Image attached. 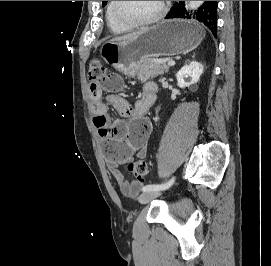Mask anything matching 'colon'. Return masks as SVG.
Masks as SVG:
<instances>
[{"label": "colon", "mask_w": 271, "mask_h": 266, "mask_svg": "<svg viewBox=\"0 0 271 266\" xmlns=\"http://www.w3.org/2000/svg\"><path fill=\"white\" fill-rule=\"evenodd\" d=\"M105 67L101 60L94 58L91 60L88 69V79L92 82L103 77ZM128 171L139 181H143L148 174L147 164L142 160L132 161L128 164Z\"/></svg>", "instance_id": "obj_1"}]
</instances>
